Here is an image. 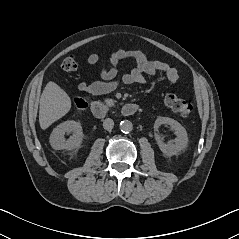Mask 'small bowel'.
<instances>
[{"instance_id": "1", "label": "small bowel", "mask_w": 239, "mask_h": 239, "mask_svg": "<svg viewBox=\"0 0 239 239\" xmlns=\"http://www.w3.org/2000/svg\"><path fill=\"white\" fill-rule=\"evenodd\" d=\"M125 59L133 60L135 66L129 72L119 75V63ZM100 62L98 54L92 53L88 56L89 64L96 65ZM158 73H163L171 83H176L179 79L178 71L163 61L150 59L140 50L117 49L111 54L108 62L102 63V80L92 83L81 81L78 89L92 94H106L114 91L120 84H142L145 82L144 75L154 76Z\"/></svg>"}]
</instances>
